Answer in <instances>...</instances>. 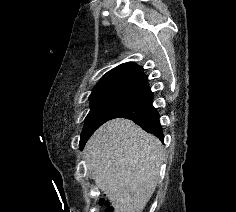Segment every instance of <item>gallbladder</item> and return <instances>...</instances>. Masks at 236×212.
I'll return each mask as SVG.
<instances>
[{"label":"gallbladder","instance_id":"bac80fb5","mask_svg":"<svg viewBox=\"0 0 236 212\" xmlns=\"http://www.w3.org/2000/svg\"><path fill=\"white\" fill-rule=\"evenodd\" d=\"M91 177H92V178H94V175H93V173H91Z\"/></svg>","mask_w":236,"mask_h":212}]
</instances>
